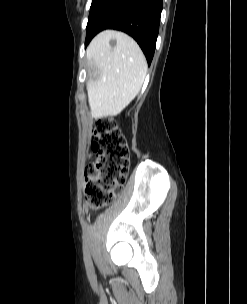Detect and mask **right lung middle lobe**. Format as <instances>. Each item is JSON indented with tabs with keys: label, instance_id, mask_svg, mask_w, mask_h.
I'll return each mask as SVG.
<instances>
[{
	"label": "right lung middle lobe",
	"instance_id": "obj_1",
	"mask_svg": "<svg viewBox=\"0 0 247 304\" xmlns=\"http://www.w3.org/2000/svg\"><path fill=\"white\" fill-rule=\"evenodd\" d=\"M97 0H92V4H91V8H90V11L91 9L93 8L94 4L96 3Z\"/></svg>",
	"mask_w": 247,
	"mask_h": 304
}]
</instances>
